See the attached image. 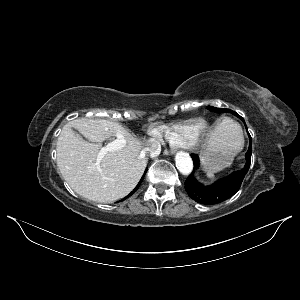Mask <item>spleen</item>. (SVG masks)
I'll list each match as a JSON object with an SVG mask.
<instances>
[{"mask_svg":"<svg viewBox=\"0 0 300 300\" xmlns=\"http://www.w3.org/2000/svg\"><path fill=\"white\" fill-rule=\"evenodd\" d=\"M221 125L228 128L235 137L243 140L241 127L233 120L226 118L222 121ZM207 176L214 178V174L211 171L207 173Z\"/></svg>","mask_w":300,"mask_h":300,"instance_id":"1","label":"spleen"}]
</instances>
